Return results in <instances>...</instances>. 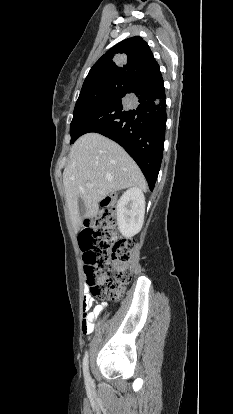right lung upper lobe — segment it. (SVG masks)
<instances>
[{"label": "right lung upper lobe", "mask_w": 233, "mask_h": 414, "mask_svg": "<svg viewBox=\"0 0 233 414\" xmlns=\"http://www.w3.org/2000/svg\"><path fill=\"white\" fill-rule=\"evenodd\" d=\"M158 72L159 65L149 46L141 37L135 36L119 42L108 50L90 69L84 84L103 77L136 81Z\"/></svg>", "instance_id": "right-lung-upper-lobe-1"}]
</instances>
